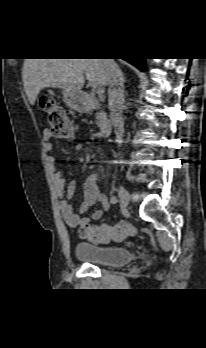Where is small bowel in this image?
Wrapping results in <instances>:
<instances>
[{
	"label": "small bowel",
	"instance_id": "1",
	"mask_svg": "<svg viewBox=\"0 0 206 348\" xmlns=\"http://www.w3.org/2000/svg\"><path fill=\"white\" fill-rule=\"evenodd\" d=\"M43 147L47 153V160L51 169L52 180L57 193L63 196L60 201V210L66 224L70 228L81 229L86 225H89L92 220H97L110 209V203L98 183V177L92 174L86 178L83 183L82 190V202L76 209L74 206V200L77 193V184L71 182L66 185L65 179L61 172L55 169V159L51 155L53 145L50 142V132L44 130L43 134ZM85 148L84 144H78L76 149L81 151ZM95 204L99 205L97 210L92 211L91 207ZM81 215H84L83 217Z\"/></svg>",
	"mask_w": 206,
	"mask_h": 348
}]
</instances>
